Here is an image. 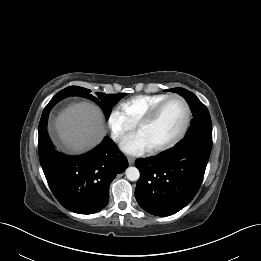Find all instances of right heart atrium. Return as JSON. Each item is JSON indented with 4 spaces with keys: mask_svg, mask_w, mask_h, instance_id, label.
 Segmentation results:
<instances>
[{
    "mask_svg": "<svg viewBox=\"0 0 261 261\" xmlns=\"http://www.w3.org/2000/svg\"><path fill=\"white\" fill-rule=\"evenodd\" d=\"M111 136L115 141H121L134 130V125L119 108H113L107 118Z\"/></svg>",
    "mask_w": 261,
    "mask_h": 261,
    "instance_id": "1",
    "label": "right heart atrium"
}]
</instances>
